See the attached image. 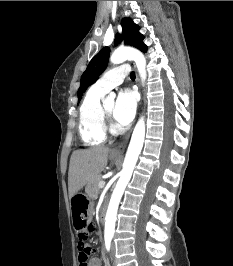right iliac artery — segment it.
<instances>
[{"instance_id": "82829eb1", "label": "right iliac artery", "mask_w": 233, "mask_h": 266, "mask_svg": "<svg viewBox=\"0 0 233 266\" xmlns=\"http://www.w3.org/2000/svg\"><path fill=\"white\" fill-rule=\"evenodd\" d=\"M110 243H111V240L110 239H106L105 240L106 248H107L108 251L110 249Z\"/></svg>"}]
</instances>
